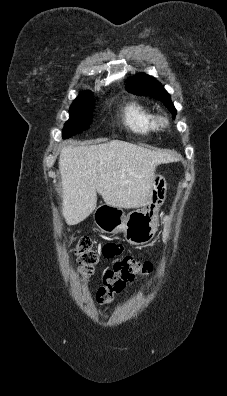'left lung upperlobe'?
<instances>
[{
	"mask_svg": "<svg viewBox=\"0 0 227 396\" xmlns=\"http://www.w3.org/2000/svg\"><path fill=\"white\" fill-rule=\"evenodd\" d=\"M127 89L134 94L149 95L153 98H156L157 100H160L170 110V112L173 114V117L175 118L176 109L171 102L170 95L165 91L161 83H159L154 78H151L149 75L144 73L138 74L136 77H133L130 80Z\"/></svg>",
	"mask_w": 227,
	"mask_h": 396,
	"instance_id": "left-lung-upper-lobe-1",
	"label": "left lung upper lobe"
}]
</instances>
